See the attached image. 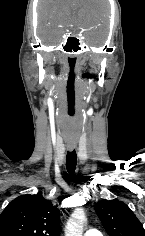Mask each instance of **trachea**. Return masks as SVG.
<instances>
[{"label": "trachea", "instance_id": "1", "mask_svg": "<svg viewBox=\"0 0 145 236\" xmlns=\"http://www.w3.org/2000/svg\"><path fill=\"white\" fill-rule=\"evenodd\" d=\"M77 155L76 151L67 152L66 156V168L70 175H73L76 169Z\"/></svg>", "mask_w": 145, "mask_h": 236}]
</instances>
